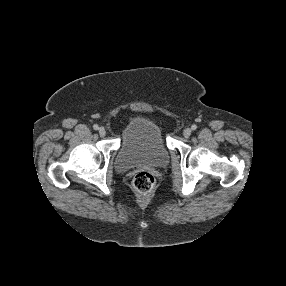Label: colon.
<instances>
[{
	"label": "colon",
	"mask_w": 286,
	"mask_h": 286,
	"mask_svg": "<svg viewBox=\"0 0 286 286\" xmlns=\"http://www.w3.org/2000/svg\"><path fill=\"white\" fill-rule=\"evenodd\" d=\"M133 187L140 194H149L155 187V179L149 172H140L133 179Z\"/></svg>",
	"instance_id": "5ec220e1"
}]
</instances>
